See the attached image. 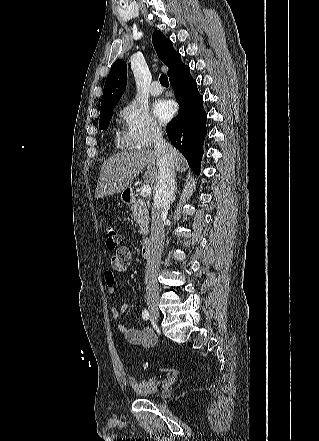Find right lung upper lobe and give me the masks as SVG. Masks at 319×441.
I'll use <instances>...</instances> for the list:
<instances>
[{"label": "right lung upper lobe", "instance_id": "obj_1", "mask_svg": "<svg viewBox=\"0 0 319 441\" xmlns=\"http://www.w3.org/2000/svg\"><path fill=\"white\" fill-rule=\"evenodd\" d=\"M154 48L158 57L168 66V76H172L185 65L181 62V55L174 50L172 42L160 31H155L152 36ZM127 83V65L124 60L116 61L106 79L101 109L112 107L117 104L125 91Z\"/></svg>", "mask_w": 319, "mask_h": 441}]
</instances>
